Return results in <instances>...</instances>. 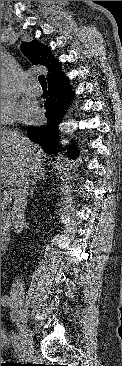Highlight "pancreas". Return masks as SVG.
I'll return each instance as SVG.
<instances>
[{
	"instance_id": "pancreas-1",
	"label": "pancreas",
	"mask_w": 122,
	"mask_h": 366,
	"mask_svg": "<svg viewBox=\"0 0 122 366\" xmlns=\"http://www.w3.org/2000/svg\"><path fill=\"white\" fill-rule=\"evenodd\" d=\"M10 201V200H9ZM9 201L5 200L2 196H1V235L3 236H8V219L6 218V216L3 213V210L6 208V206L8 205Z\"/></svg>"
}]
</instances>
